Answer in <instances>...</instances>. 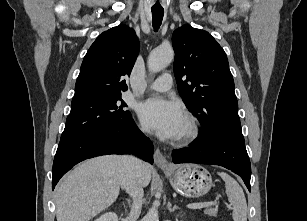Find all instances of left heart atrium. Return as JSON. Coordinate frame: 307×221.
<instances>
[{
	"label": "left heart atrium",
	"instance_id": "39dd6f15",
	"mask_svg": "<svg viewBox=\"0 0 307 221\" xmlns=\"http://www.w3.org/2000/svg\"><path fill=\"white\" fill-rule=\"evenodd\" d=\"M143 124L163 138H177L184 115L178 103L164 98H153L139 107Z\"/></svg>",
	"mask_w": 307,
	"mask_h": 221
}]
</instances>
